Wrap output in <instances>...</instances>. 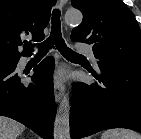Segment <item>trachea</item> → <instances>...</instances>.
<instances>
[{"label": "trachea", "mask_w": 141, "mask_h": 139, "mask_svg": "<svg viewBox=\"0 0 141 139\" xmlns=\"http://www.w3.org/2000/svg\"><path fill=\"white\" fill-rule=\"evenodd\" d=\"M60 11L55 9L52 13V26L50 36L41 44H39V54H46L50 48L56 45L58 51L64 56L69 58H84V56L74 52L67 47L61 34Z\"/></svg>", "instance_id": "trachea-1"}]
</instances>
